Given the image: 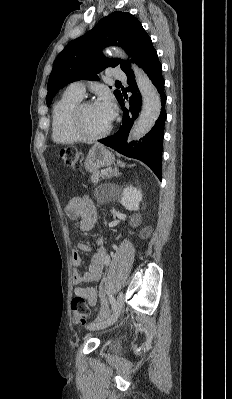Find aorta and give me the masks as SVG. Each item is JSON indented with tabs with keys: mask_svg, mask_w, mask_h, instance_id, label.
<instances>
[{
	"mask_svg": "<svg viewBox=\"0 0 232 399\" xmlns=\"http://www.w3.org/2000/svg\"><path fill=\"white\" fill-rule=\"evenodd\" d=\"M117 55L120 58H127L122 50H118ZM132 69L142 96V110L130 131L129 141L138 140L148 133L157 121L161 110L160 95L151 80L138 66L132 64Z\"/></svg>",
	"mask_w": 232,
	"mask_h": 399,
	"instance_id": "1",
	"label": "aorta"
}]
</instances>
